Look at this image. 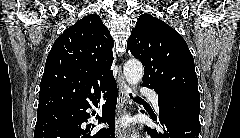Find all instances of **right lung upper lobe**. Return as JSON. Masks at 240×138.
Returning <instances> with one entry per match:
<instances>
[{"mask_svg":"<svg viewBox=\"0 0 240 138\" xmlns=\"http://www.w3.org/2000/svg\"><path fill=\"white\" fill-rule=\"evenodd\" d=\"M113 44L97 14L67 28L47 56L37 114L98 95L114 80L110 70Z\"/></svg>","mask_w":240,"mask_h":138,"instance_id":"1","label":"right lung upper lobe"}]
</instances>
